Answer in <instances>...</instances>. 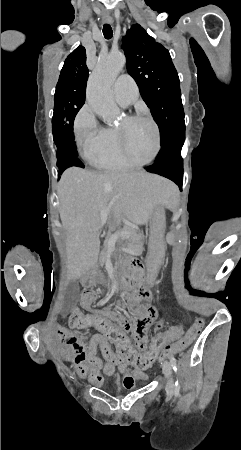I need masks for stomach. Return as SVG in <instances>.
<instances>
[{
  "label": "stomach",
  "mask_w": 241,
  "mask_h": 450,
  "mask_svg": "<svg viewBox=\"0 0 241 450\" xmlns=\"http://www.w3.org/2000/svg\"><path fill=\"white\" fill-rule=\"evenodd\" d=\"M164 227L163 209L159 207L150 227L148 252L145 260L147 278L150 284L154 282L165 257Z\"/></svg>",
  "instance_id": "1"
}]
</instances>
